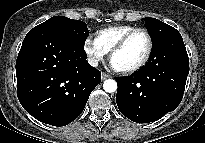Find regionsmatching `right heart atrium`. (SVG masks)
I'll list each match as a JSON object with an SVG mask.
<instances>
[{"label":"right heart atrium","instance_id":"1","mask_svg":"<svg viewBox=\"0 0 205 143\" xmlns=\"http://www.w3.org/2000/svg\"><path fill=\"white\" fill-rule=\"evenodd\" d=\"M83 49H84V52L87 56L89 63L92 66H97L99 63H101L105 59L108 53L99 44V42L96 39H93L92 37H87L84 40Z\"/></svg>","mask_w":205,"mask_h":143}]
</instances>
